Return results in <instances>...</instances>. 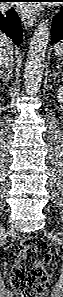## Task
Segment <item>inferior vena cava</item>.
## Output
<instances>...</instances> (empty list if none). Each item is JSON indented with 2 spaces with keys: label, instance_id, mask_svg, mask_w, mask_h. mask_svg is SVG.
I'll return each mask as SVG.
<instances>
[{
  "label": "inferior vena cava",
  "instance_id": "602c4592",
  "mask_svg": "<svg viewBox=\"0 0 63 297\" xmlns=\"http://www.w3.org/2000/svg\"><path fill=\"white\" fill-rule=\"evenodd\" d=\"M13 62V53L10 52L8 54L2 55L0 58L1 72L3 73V69H7L10 71Z\"/></svg>",
  "mask_w": 63,
  "mask_h": 297
}]
</instances>
